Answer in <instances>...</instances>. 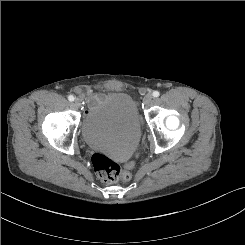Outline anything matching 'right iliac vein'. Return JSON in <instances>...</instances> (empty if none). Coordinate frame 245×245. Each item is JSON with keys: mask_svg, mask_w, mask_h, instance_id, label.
<instances>
[{"mask_svg": "<svg viewBox=\"0 0 245 245\" xmlns=\"http://www.w3.org/2000/svg\"><path fill=\"white\" fill-rule=\"evenodd\" d=\"M74 104H75L76 106L80 107V106H81V100H80L79 98H76V99L74 100Z\"/></svg>", "mask_w": 245, "mask_h": 245, "instance_id": "right-iliac-vein-1", "label": "right iliac vein"}]
</instances>
